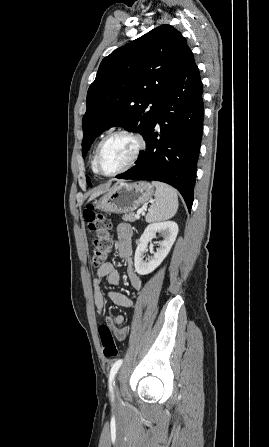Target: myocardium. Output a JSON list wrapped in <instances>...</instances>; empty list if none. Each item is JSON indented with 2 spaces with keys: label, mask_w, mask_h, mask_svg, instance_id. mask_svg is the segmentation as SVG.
<instances>
[{
  "label": "myocardium",
  "mask_w": 269,
  "mask_h": 447,
  "mask_svg": "<svg viewBox=\"0 0 269 447\" xmlns=\"http://www.w3.org/2000/svg\"><path fill=\"white\" fill-rule=\"evenodd\" d=\"M118 134H127V135H130L133 138H135L137 141V148H136L131 160L129 161V163H127L125 166H123L117 170L107 172L101 168V164H100L101 152H102V149H103L105 143L107 142V140L115 135H118ZM145 148H146L145 137L138 131L130 129V128H118V129L112 130L102 138V140L100 141V143L97 146L96 157H95L96 168L100 174L105 175V176H113V175L125 172V171L131 169L133 166H135V164L137 163L138 159L140 158V156Z\"/></svg>",
  "instance_id": "myocardium-1"
}]
</instances>
